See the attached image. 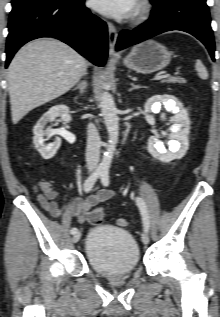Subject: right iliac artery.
<instances>
[{
  "mask_svg": "<svg viewBox=\"0 0 220 317\" xmlns=\"http://www.w3.org/2000/svg\"><path fill=\"white\" fill-rule=\"evenodd\" d=\"M102 171L100 170H96L94 173H92L91 176H89L85 182H84V191L85 192H89L92 187L94 186L95 182L97 181V179L101 176ZM71 234H75L77 232V228L73 227L70 230Z\"/></svg>",
  "mask_w": 220,
  "mask_h": 317,
  "instance_id": "1",
  "label": "right iliac artery"
}]
</instances>
